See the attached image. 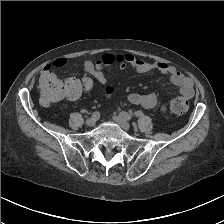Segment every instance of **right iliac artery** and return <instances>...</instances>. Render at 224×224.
I'll use <instances>...</instances> for the list:
<instances>
[{
  "label": "right iliac artery",
  "mask_w": 224,
  "mask_h": 224,
  "mask_svg": "<svg viewBox=\"0 0 224 224\" xmlns=\"http://www.w3.org/2000/svg\"><path fill=\"white\" fill-rule=\"evenodd\" d=\"M100 118V113L98 111L93 112L92 119L98 120Z\"/></svg>",
  "instance_id": "right-iliac-artery-1"
}]
</instances>
